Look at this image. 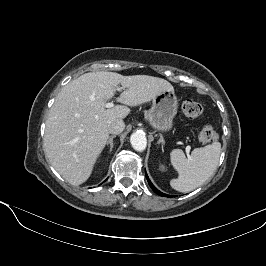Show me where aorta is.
Wrapping results in <instances>:
<instances>
[{
    "mask_svg": "<svg viewBox=\"0 0 266 266\" xmlns=\"http://www.w3.org/2000/svg\"><path fill=\"white\" fill-rule=\"evenodd\" d=\"M130 142L132 147L136 151H143L147 145V139L144 134L142 133H133L130 137Z\"/></svg>",
    "mask_w": 266,
    "mask_h": 266,
    "instance_id": "aorta-1",
    "label": "aorta"
}]
</instances>
